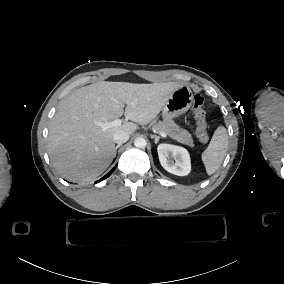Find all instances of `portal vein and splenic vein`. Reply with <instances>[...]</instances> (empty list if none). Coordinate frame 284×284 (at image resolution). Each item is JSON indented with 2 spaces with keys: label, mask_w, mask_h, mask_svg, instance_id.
I'll list each match as a JSON object with an SVG mask.
<instances>
[{
  "label": "portal vein and splenic vein",
  "mask_w": 284,
  "mask_h": 284,
  "mask_svg": "<svg viewBox=\"0 0 284 284\" xmlns=\"http://www.w3.org/2000/svg\"><path fill=\"white\" fill-rule=\"evenodd\" d=\"M121 122H122V119L118 118V119H115L113 121H105V122H101V121H98V120H93V124L96 125V126H99L100 128H102L103 130H106L108 128H113V127H117L119 125H121ZM161 135L164 137V138H167L168 135L166 133H161Z\"/></svg>",
  "instance_id": "obj_1"
}]
</instances>
